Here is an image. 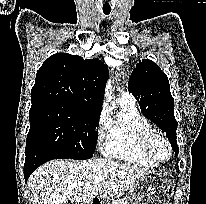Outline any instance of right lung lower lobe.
Wrapping results in <instances>:
<instances>
[{
	"mask_svg": "<svg viewBox=\"0 0 206 204\" xmlns=\"http://www.w3.org/2000/svg\"><path fill=\"white\" fill-rule=\"evenodd\" d=\"M52 159H59V158H57V156H55L54 154H52L47 150H37L29 154H26V159L24 164L25 181L27 182L29 176L37 167Z\"/></svg>",
	"mask_w": 206,
	"mask_h": 204,
	"instance_id": "right-lung-lower-lobe-1",
	"label": "right lung lower lobe"
}]
</instances>
